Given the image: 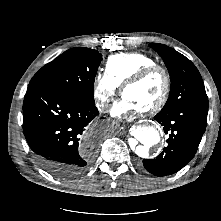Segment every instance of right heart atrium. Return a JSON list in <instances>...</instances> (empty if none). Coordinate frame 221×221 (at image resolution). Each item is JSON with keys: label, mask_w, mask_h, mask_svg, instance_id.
I'll list each match as a JSON object with an SVG mask.
<instances>
[{"label": "right heart atrium", "mask_w": 221, "mask_h": 221, "mask_svg": "<svg viewBox=\"0 0 221 221\" xmlns=\"http://www.w3.org/2000/svg\"><path fill=\"white\" fill-rule=\"evenodd\" d=\"M120 85L113 80L106 72H99L94 83V97L99 110L105 111L114 96L117 94Z\"/></svg>", "instance_id": "right-heart-atrium-1"}]
</instances>
